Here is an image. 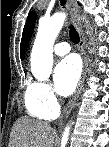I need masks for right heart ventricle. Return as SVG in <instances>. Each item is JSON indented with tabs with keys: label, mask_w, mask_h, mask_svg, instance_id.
<instances>
[{
	"label": "right heart ventricle",
	"mask_w": 109,
	"mask_h": 147,
	"mask_svg": "<svg viewBox=\"0 0 109 147\" xmlns=\"http://www.w3.org/2000/svg\"><path fill=\"white\" fill-rule=\"evenodd\" d=\"M32 86H33V84H29L27 86L26 92H25L24 102H25V106H26L28 113L32 117H35L38 119L48 120L49 117H52V116L55 117L58 111L57 112L47 111L44 108H42L41 106H39L36 102H34L30 99V96H31L30 91H31Z\"/></svg>",
	"instance_id": "right-heart-ventricle-1"
}]
</instances>
